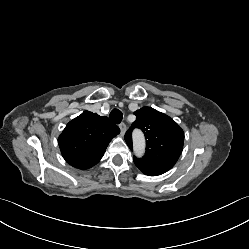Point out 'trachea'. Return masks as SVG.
<instances>
[{
	"label": "trachea",
	"instance_id": "3493384b",
	"mask_svg": "<svg viewBox=\"0 0 249 249\" xmlns=\"http://www.w3.org/2000/svg\"><path fill=\"white\" fill-rule=\"evenodd\" d=\"M123 115L122 112L119 109H113L110 112V119L115 123L119 124L122 121Z\"/></svg>",
	"mask_w": 249,
	"mask_h": 249
}]
</instances>
